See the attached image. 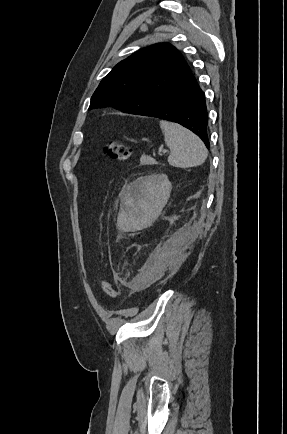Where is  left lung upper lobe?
Wrapping results in <instances>:
<instances>
[{"label":"left lung upper lobe","instance_id":"5c2ea615","mask_svg":"<svg viewBox=\"0 0 287 434\" xmlns=\"http://www.w3.org/2000/svg\"><path fill=\"white\" fill-rule=\"evenodd\" d=\"M185 59L168 43L139 50L119 62L95 90L89 110L113 106L137 114L155 105L190 74Z\"/></svg>","mask_w":287,"mask_h":434}]
</instances>
